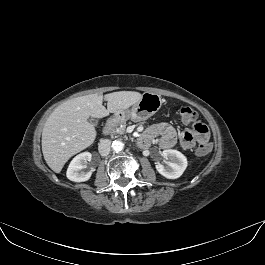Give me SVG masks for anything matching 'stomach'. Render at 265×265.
<instances>
[{
	"label": "stomach",
	"mask_w": 265,
	"mask_h": 265,
	"mask_svg": "<svg viewBox=\"0 0 265 265\" xmlns=\"http://www.w3.org/2000/svg\"><path fill=\"white\" fill-rule=\"evenodd\" d=\"M162 99L155 93H144L141 99L127 109L119 110L114 117L119 120L131 119L133 121L146 120L153 116L161 107Z\"/></svg>",
	"instance_id": "0dacf381"
}]
</instances>
